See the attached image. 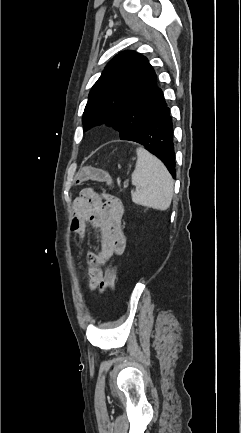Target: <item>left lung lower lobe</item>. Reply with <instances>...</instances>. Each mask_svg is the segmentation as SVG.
Returning a JSON list of instances; mask_svg holds the SVG:
<instances>
[{
	"instance_id": "left-lung-lower-lobe-1",
	"label": "left lung lower lobe",
	"mask_w": 241,
	"mask_h": 433,
	"mask_svg": "<svg viewBox=\"0 0 241 433\" xmlns=\"http://www.w3.org/2000/svg\"><path fill=\"white\" fill-rule=\"evenodd\" d=\"M126 140L146 147L165 164L172 176L176 177L172 116L165 101L148 123Z\"/></svg>"
}]
</instances>
